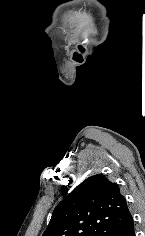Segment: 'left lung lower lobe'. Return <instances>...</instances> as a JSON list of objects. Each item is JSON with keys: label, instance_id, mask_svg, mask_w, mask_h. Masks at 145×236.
Here are the masks:
<instances>
[{"label": "left lung lower lobe", "instance_id": "left-lung-lower-lobe-1", "mask_svg": "<svg viewBox=\"0 0 145 236\" xmlns=\"http://www.w3.org/2000/svg\"><path fill=\"white\" fill-rule=\"evenodd\" d=\"M115 236H135L133 217H131L127 223L117 231Z\"/></svg>", "mask_w": 145, "mask_h": 236}]
</instances>
